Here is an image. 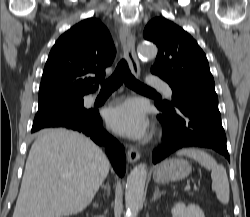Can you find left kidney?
I'll return each instance as SVG.
<instances>
[{
	"label": "left kidney",
	"mask_w": 250,
	"mask_h": 217,
	"mask_svg": "<svg viewBox=\"0 0 250 217\" xmlns=\"http://www.w3.org/2000/svg\"><path fill=\"white\" fill-rule=\"evenodd\" d=\"M173 217H205L199 206L190 204L186 206L184 203H176L171 209Z\"/></svg>",
	"instance_id": "obj_1"
}]
</instances>
